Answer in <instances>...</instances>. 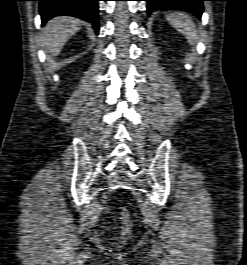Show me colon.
I'll list each match as a JSON object with an SVG mask.
<instances>
[{"mask_svg":"<svg viewBox=\"0 0 247 265\" xmlns=\"http://www.w3.org/2000/svg\"><path fill=\"white\" fill-rule=\"evenodd\" d=\"M132 232L131 217L127 209L121 211V239L126 240Z\"/></svg>","mask_w":247,"mask_h":265,"instance_id":"obj_1","label":"colon"}]
</instances>
